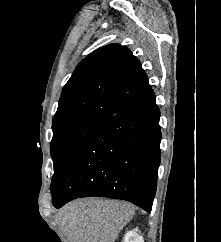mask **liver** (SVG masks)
Masks as SVG:
<instances>
[{"mask_svg":"<svg viewBox=\"0 0 221 242\" xmlns=\"http://www.w3.org/2000/svg\"><path fill=\"white\" fill-rule=\"evenodd\" d=\"M133 216L129 203L82 199L65 205L58 223L68 242H114Z\"/></svg>","mask_w":221,"mask_h":242,"instance_id":"liver-1","label":"liver"}]
</instances>
